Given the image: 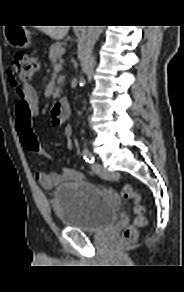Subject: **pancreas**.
I'll return each mask as SVG.
<instances>
[{"instance_id": "cf45deb5", "label": "pancreas", "mask_w": 184, "mask_h": 292, "mask_svg": "<svg viewBox=\"0 0 184 292\" xmlns=\"http://www.w3.org/2000/svg\"><path fill=\"white\" fill-rule=\"evenodd\" d=\"M62 43H55L53 45L50 46L49 49V58L51 60L52 63H56L57 60H59L62 55L65 52V48L63 47Z\"/></svg>"}]
</instances>
